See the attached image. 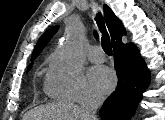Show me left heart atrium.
<instances>
[{"label":"left heart atrium","mask_w":165,"mask_h":120,"mask_svg":"<svg viewBox=\"0 0 165 120\" xmlns=\"http://www.w3.org/2000/svg\"><path fill=\"white\" fill-rule=\"evenodd\" d=\"M90 80L94 87L103 93L110 92L116 85L114 72L106 66H96L90 71Z\"/></svg>","instance_id":"obj_1"}]
</instances>
